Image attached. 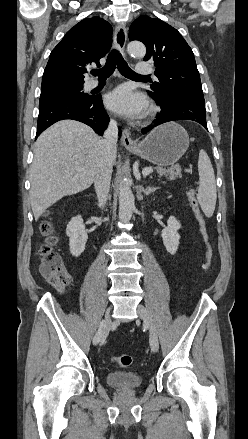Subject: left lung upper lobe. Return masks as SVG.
<instances>
[{"label": "left lung upper lobe", "instance_id": "5c2ea615", "mask_svg": "<svg viewBox=\"0 0 248 439\" xmlns=\"http://www.w3.org/2000/svg\"><path fill=\"white\" fill-rule=\"evenodd\" d=\"M129 39L144 43V61L154 63L158 82L148 93L165 106L174 99L204 102L199 72L192 49L181 34L166 22L140 16L129 28Z\"/></svg>", "mask_w": 248, "mask_h": 439}]
</instances>
